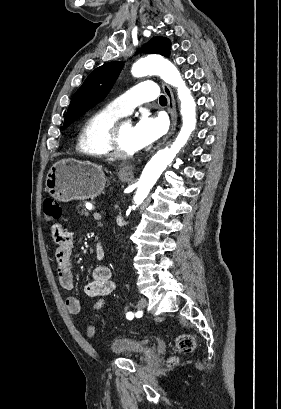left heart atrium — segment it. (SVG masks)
I'll return each mask as SVG.
<instances>
[{
	"label": "left heart atrium",
	"mask_w": 281,
	"mask_h": 409,
	"mask_svg": "<svg viewBox=\"0 0 281 409\" xmlns=\"http://www.w3.org/2000/svg\"><path fill=\"white\" fill-rule=\"evenodd\" d=\"M166 124L160 117L143 116L133 128V139L137 149L153 144L165 132Z\"/></svg>",
	"instance_id": "obj_1"
}]
</instances>
